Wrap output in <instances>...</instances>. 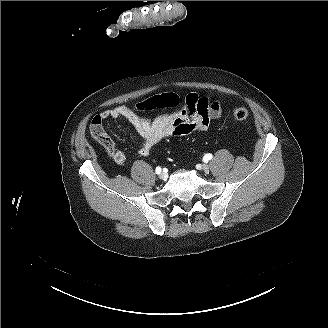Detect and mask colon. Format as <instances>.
Wrapping results in <instances>:
<instances>
[{"label": "colon", "mask_w": 328, "mask_h": 328, "mask_svg": "<svg viewBox=\"0 0 328 328\" xmlns=\"http://www.w3.org/2000/svg\"><path fill=\"white\" fill-rule=\"evenodd\" d=\"M181 103L178 95L174 93H163L155 95L135 105L137 110L147 111L159 108L175 107ZM249 112L245 107H237L233 110V117L238 121L246 120ZM90 133L97 143L104 147L107 151L114 147L113 141L105 132L102 119L99 115L95 116L91 121Z\"/></svg>", "instance_id": "1"}]
</instances>
